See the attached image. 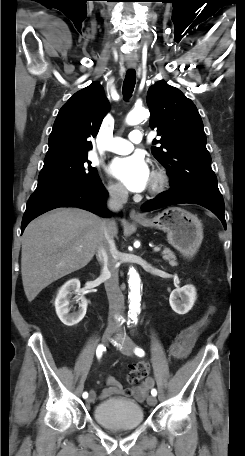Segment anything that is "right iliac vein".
Masks as SVG:
<instances>
[{
  "instance_id": "obj_1",
  "label": "right iliac vein",
  "mask_w": 245,
  "mask_h": 456,
  "mask_svg": "<svg viewBox=\"0 0 245 456\" xmlns=\"http://www.w3.org/2000/svg\"><path fill=\"white\" fill-rule=\"evenodd\" d=\"M115 331H116V328H114V327H108V328L105 330V332H104V334H103V336H102V343L106 345V344L108 343V341H109L111 335H112ZM95 397H96L95 392H94V391H91L90 394H89V397H88V399H87V403H92V402H94Z\"/></svg>"
}]
</instances>
